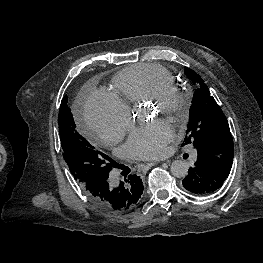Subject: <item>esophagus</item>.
I'll return each mask as SVG.
<instances>
[{
    "label": "esophagus",
    "instance_id": "1",
    "mask_svg": "<svg viewBox=\"0 0 263 263\" xmlns=\"http://www.w3.org/2000/svg\"><path fill=\"white\" fill-rule=\"evenodd\" d=\"M167 162H169V161H167ZM156 164H157V162H149L146 164V166L151 167V166H154Z\"/></svg>",
    "mask_w": 263,
    "mask_h": 263
}]
</instances>
